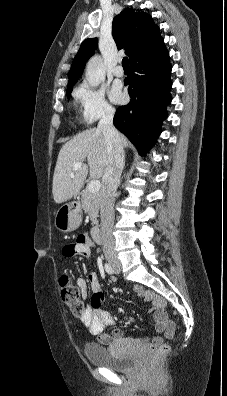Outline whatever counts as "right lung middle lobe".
Returning a JSON list of instances; mask_svg holds the SVG:
<instances>
[{
	"instance_id": "dd1d6c3e",
	"label": "right lung middle lobe",
	"mask_w": 227,
	"mask_h": 396,
	"mask_svg": "<svg viewBox=\"0 0 227 396\" xmlns=\"http://www.w3.org/2000/svg\"><path fill=\"white\" fill-rule=\"evenodd\" d=\"M72 89L67 91V97L70 98V94H71Z\"/></svg>"
}]
</instances>
